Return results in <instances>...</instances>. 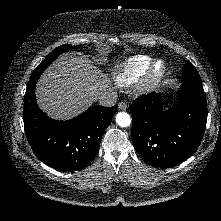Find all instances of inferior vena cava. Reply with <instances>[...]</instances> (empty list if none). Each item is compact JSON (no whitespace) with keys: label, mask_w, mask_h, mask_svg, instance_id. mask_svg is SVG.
<instances>
[{"label":"inferior vena cava","mask_w":221,"mask_h":221,"mask_svg":"<svg viewBox=\"0 0 221 221\" xmlns=\"http://www.w3.org/2000/svg\"><path fill=\"white\" fill-rule=\"evenodd\" d=\"M96 100L101 106H106V107L113 106L117 102V92L113 87L103 89L96 96Z\"/></svg>","instance_id":"inferior-vena-cava-1"}]
</instances>
